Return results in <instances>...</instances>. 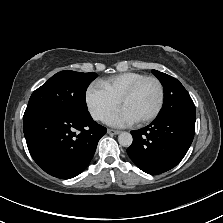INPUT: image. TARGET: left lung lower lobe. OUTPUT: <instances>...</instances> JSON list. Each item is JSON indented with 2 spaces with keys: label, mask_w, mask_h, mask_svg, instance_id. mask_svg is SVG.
I'll return each instance as SVG.
<instances>
[{
  "label": "left lung lower lobe",
  "mask_w": 223,
  "mask_h": 223,
  "mask_svg": "<svg viewBox=\"0 0 223 223\" xmlns=\"http://www.w3.org/2000/svg\"><path fill=\"white\" fill-rule=\"evenodd\" d=\"M196 117L170 116L131 131L127 149L131 160L144 172L157 175L175 167L185 156L194 137Z\"/></svg>",
  "instance_id": "left-lung-lower-lobe-1"
}]
</instances>
